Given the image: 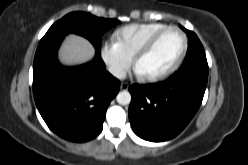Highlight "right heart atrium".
Segmentation results:
<instances>
[{"label": "right heart atrium", "instance_id": "d8ad5b80", "mask_svg": "<svg viewBox=\"0 0 248 165\" xmlns=\"http://www.w3.org/2000/svg\"><path fill=\"white\" fill-rule=\"evenodd\" d=\"M101 56L108 71L116 78H122L132 64L130 57L116 41H107L101 47Z\"/></svg>", "mask_w": 248, "mask_h": 165}]
</instances>
